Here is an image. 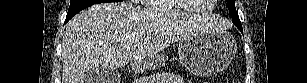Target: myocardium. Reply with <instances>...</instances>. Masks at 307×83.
Masks as SVG:
<instances>
[{
	"label": "myocardium",
	"instance_id": "myocardium-1",
	"mask_svg": "<svg viewBox=\"0 0 307 83\" xmlns=\"http://www.w3.org/2000/svg\"><path fill=\"white\" fill-rule=\"evenodd\" d=\"M179 6L184 9L187 12H192V13H207L210 11L209 8H195L193 6L188 5L186 0H175Z\"/></svg>",
	"mask_w": 307,
	"mask_h": 83
}]
</instances>
